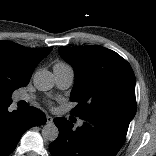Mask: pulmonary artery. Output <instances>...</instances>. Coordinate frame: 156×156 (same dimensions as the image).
Here are the masks:
<instances>
[{"mask_svg": "<svg viewBox=\"0 0 156 156\" xmlns=\"http://www.w3.org/2000/svg\"><path fill=\"white\" fill-rule=\"evenodd\" d=\"M53 73L58 88L64 90L68 89L74 80V71L73 68L64 63H57L53 67ZM17 99L19 101H29L31 96L26 94H20ZM78 126H82V121L78 122Z\"/></svg>", "mask_w": 156, "mask_h": 156, "instance_id": "1", "label": "pulmonary artery"}]
</instances>
